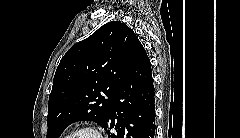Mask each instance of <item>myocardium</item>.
I'll use <instances>...</instances> for the list:
<instances>
[{
    "label": "myocardium",
    "instance_id": "myocardium-1",
    "mask_svg": "<svg viewBox=\"0 0 240 138\" xmlns=\"http://www.w3.org/2000/svg\"><path fill=\"white\" fill-rule=\"evenodd\" d=\"M84 132H89L95 135L96 138H103L101 131L95 126H83L78 128L70 138H77L80 134Z\"/></svg>",
    "mask_w": 240,
    "mask_h": 138
}]
</instances>
